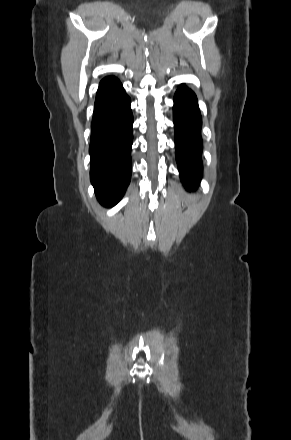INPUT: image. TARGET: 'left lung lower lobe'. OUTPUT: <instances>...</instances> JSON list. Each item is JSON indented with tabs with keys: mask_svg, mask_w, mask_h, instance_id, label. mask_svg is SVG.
<instances>
[{
	"mask_svg": "<svg viewBox=\"0 0 291 440\" xmlns=\"http://www.w3.org/2000/svg\"><path fill=\"white\" fill-rule=\"evenodd\" d=\"M173 111L178 169L185 187L194 190L202 172V121L197 98L185 85H181L176 91Z\"/></svg>",
	"mask_w": 291,
	"mask_h": 440,
	"instance_id": "1",
	"label": "left lung lower lobe"
}]
</instances>
